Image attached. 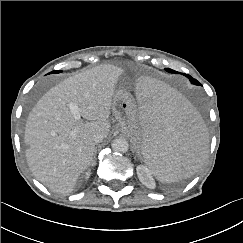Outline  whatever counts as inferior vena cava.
<instances>
[{
    "label": "inferior vena cava",
    "mask_w": 243,
    "mask_h": 243,
    "mask_svg": "<svg viewBox=\"0 0 243 243\" xmlns=\"http://www.w3.org/2000/svg\"><path fill=\"white\" fill-rule=\"evenodd\" d=\"M104 139V135L103 134H95L93 137H92V141L95 143V144H98L100 142H102Z\"/></svg>",
    "instance_id": "1"
}]
</instances>
